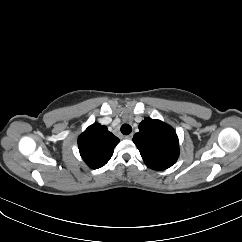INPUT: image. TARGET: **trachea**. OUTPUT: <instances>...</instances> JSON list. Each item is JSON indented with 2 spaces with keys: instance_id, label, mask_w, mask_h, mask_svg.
Masks as SVG:
<instances>
[{
  "instance_id": "1",
  "label": "trachea",
  "mask_w": 242,
  "mask_h": 242,
  "mask_svg": "<svg viewBox=\"0 0 242 242\" xmlns=\"http://www.w3.org/2000/svg\"><path fill=\"white\" fill-rule=\"evenodd\" d=\"M121 132L124 135H129L132 132V127L129 124H123L121 126Z\"/></svg>"
}]
</instances>
